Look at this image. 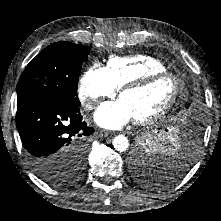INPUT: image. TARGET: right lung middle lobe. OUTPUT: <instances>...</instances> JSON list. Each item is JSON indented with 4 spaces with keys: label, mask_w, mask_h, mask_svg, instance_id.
I'll use <instances>...</instances> for the list:
<instances>
[{
    "label": "right lung middle lobe",
    "mask_w": 221,
    "mask_h": 221,
    "mask_svg": "<svg viewBox=\"0 0 221 221\" xmlns=\"http://www.w3.org/2000/svg\"><path fill=\"white\" fill-rule=\"evenodd\" d=\"M90 53L83 45L56 42L40 52L27 65L17 89V105L34 97H57L80 104L77 84L82 63ZM90 141L76 144L61 165L46 166L39 177L51 185L64 187L80 180Z\"/></svg>",
    "instance_id": "1"
}]
</instances>
